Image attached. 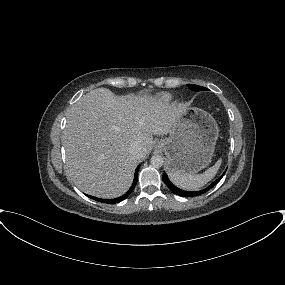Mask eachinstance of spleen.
<instances>
[{
	"label": "spleen",
	"mask_w": 285,
	"mask_h": 285,
	"mask_svg": "<svg viewBox=\"0 0 285 285\" xmlns=\"http://www.w3.org/2000/svg\"><path fill=\"white\" fill-rule=\"evenodd\" d=\"M221 165V159H219L215 165L207 169L202 174H176L169 173L170 179L173 183L184 190H198L205 184H207L218 172Z\"/></svg>",
	"instance_id": "1"
}]
</instances>
